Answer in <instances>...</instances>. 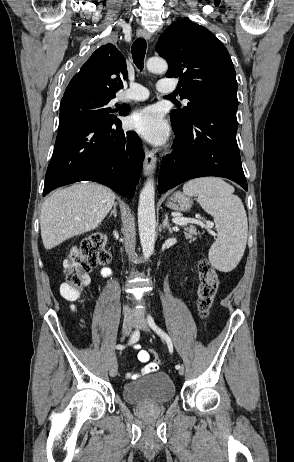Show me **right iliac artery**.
I'll return each instance as SVG.
<instances>
[{"instance_id": "right-iliac-artery-1", "label": "right iliac artery", "mask_w": 294, "mask_h": 462, "mask_svg": "<svg viewBox=\"0 0 294 462\" xmlns=\"http://www.w3.org/2000/svg\"><path fill=\"white\" fill-rule=\"evenodd\" d=\"M139 337H140V332L138 330H135L131 336L130 344L138 341ZM116 348L122 350L123 348H125V346L118 344Z\"/></svg>"}]
</instances>
